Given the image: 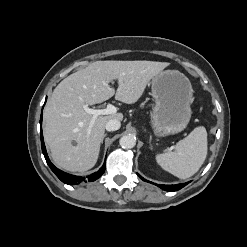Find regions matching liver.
<instances>
[{
    "instance_id": "6515ba94",
    "label": "liver",
    "mask_w": 247,
    "mask_h": 247,
    "mask_svg": "<svg viewBox=\"0 0 247 247\" xmlns=\"http://www.w3.org/2000/svg\"><path fill=\"white\" fill-rule=\"evenodd\" d=\"M156 61H96L62 80L44 109V139L55 165L71 172H85L97 162L105 125L122 120V113L100 115L93 122L83 106L115 99L133 104L151 79L169 66ZM118 81L115 92L110 86ZM73 142L76 144L73 145Z\"/></svg>"
}]
</instances>
